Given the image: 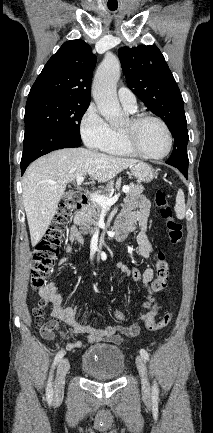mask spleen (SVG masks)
Instances as JSON below:
<instances>
[{"mask_svg": "<svg viewBox=\"0 0 213 433\" xmlns=\"http://www.w3.org/2000/svg\"><path fill=\"white\" fill-rule=\"evenodd\" d=\"M185 196L184 192L180 189L177 192L175 212L178 219H183L185 217Z\"/></svg>", "mask_w": 213, "mask_h": 433, "instance_id": "obj_1", "label": "spleen"}]
</instances>
